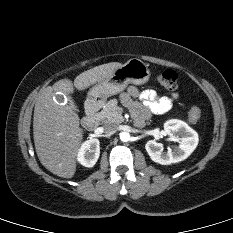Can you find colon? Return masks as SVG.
Returning <instances> with one entry per match:
<instances>
[{"label": "colon", "mask_w": 233, "mask_h": 233, "mask_svg": "<svg viewBox=\"0 0 233 233\" xmlns=\"http://www.w3.org/2000/svg\"><path fill=\"white\" fill-rule=\"evenodd\" d=\"M158 82L165 89L175 91L178 88V76L174 70H165L158 76ZM201 117V110L198 106H193L188 114L192 124L197 123Z\"/></svg>", "instance_id": "5ec220e1"}]
</instances>
